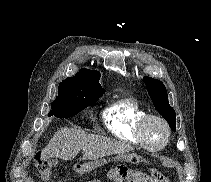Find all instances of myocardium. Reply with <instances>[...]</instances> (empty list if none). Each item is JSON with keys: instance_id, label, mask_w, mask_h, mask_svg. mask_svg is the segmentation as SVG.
Listing matches in <instances>:
<instances>
[{"instance_id": "1", "label": "myocardium", "mask_w": 211, "mask_h": 182, "mask_svg": "<svg viewBox=\"0 0 211 182\" xmlns=\"http://www.w3.org/2000/svg\"><path fill=\"white\" fill-rule=\"evenodd\" d=\"M150 121H158L163 126L165 133H166L164 141L161 144L156 145V146L149 145V143L147 142L146 136H145V128H146V125ZM136 133H137V137H138V140L141 143V145L144 148H146L148 150H152V151H156V150H160V149L164 148L168 144L170 137H171V130H170V127H169L167 121L163 117H161L159 115H155V114L144 115L138 123Z\"/></svg>"}]
</instances>
